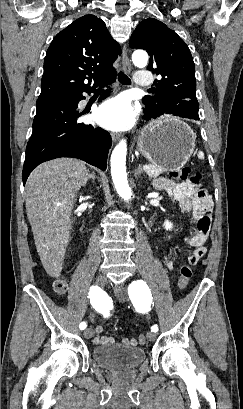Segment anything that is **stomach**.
<instances>
[{"instance_id":"obj_1","label":"stomach","mask_w":243,"mask_h":409,"mask_svg":"<svg viewBox=\"0 0 243 409\" xmlns=\"http://www.w3.org/2000/svg\"><path fill=\"white\" fill-rule=\"evenodd\" d=\"M195 139V133L186 123L175 117H162L142 129L137 150L154 166L176 171L192 155Z\"/></svg>"}]
</instances>
